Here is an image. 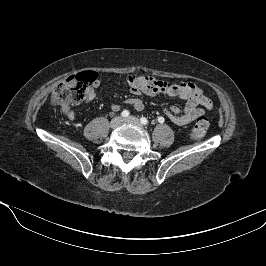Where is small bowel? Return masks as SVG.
<instances>
[{
	"mask_svg": "<svg viewBox=\"0 0 266 266\" xmlns=\"http://www.w3.org/2000/svg\"><path fill=\"white\" fill-rule=\"evenodd\" d=\"M99 85L100 82L96 80L93 86L88 88L85 98L87 102H91L96 98L95 88ZM127 86L129 91L136 96L166 95L185 100L186 103L183 109L173 105L164 110L165 115L176 126H184L203 117L205 111L211 110L213 107L212 101L198 86L191 82L171 84L153 76L130 74L127 77ZM123 105L133 107L137 111L144 108V102L135 97L128 98L122 103H113L111 109L119 111ZM64 112L69 120L75 119V110L64 108Z\"/></svg>",
	"mask_w": 266,
	"mask_h": 266,
	"instance_id": "c3829d8e",
	"label": "small bowel"
}]
</instances>
